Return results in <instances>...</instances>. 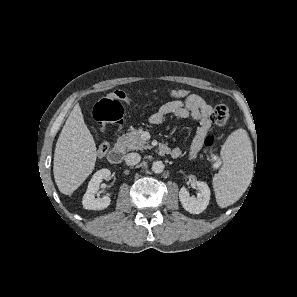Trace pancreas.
I'll list each match as a JSON object with an SVG mask.
<instances>
[{
  "mask_svg": "<svg viewBox=\"0 0 297 297\" xmlns=\"http://www.w3.org/2000/svg\"><path fill=\"white\" fill-rule=\"evenodd\" d=\"M117 144L126 151L150 149L151 146L140 136L139 130H133L118 138Z\"/></svg>",
  "mask_w": 297,
  "mask_h": 297,
  "instance_id": "pancreas-1",
  "label": "pancreas"
}]
</instances>
